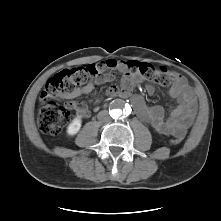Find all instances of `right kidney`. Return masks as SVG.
Wrapping results in <instances>:
<instances>
[{
	"label": "right kidney",
	"mask_w": 221,
	"mask_h": 221,
	"mask_svg": "<svg viewBox=\"0 0 221 221\" xmlns=\"http://www.w3.org/2000/svg\"><path fill=\"white\" fill-rule=\"evenodd\" d=\"M80 128H81V118L76 117V118L73 119V121L67 127V134L69 136H73V135L78 133Z\"/></svg>",
	"instance_id": "1"
}]
</instances>
